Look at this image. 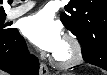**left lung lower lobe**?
Here are the masks:
<instances>
[{
  "mask_svg": "<svg viewBox=\"0 0 107 75\" xmlns=\"http://www.w3.org/2000/svg\"><path fill=\"white\" fill-rule=\"evenodd\" d=\"M96 46L88 57L84 60L107 70V43L103 39L96 38Z\"/></svg>",
  "mask_w": 107,
  "mask_h": 75,
  "instance_id": "1",
  "label": "left lung lower lobe"
}]
</instances>
